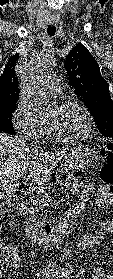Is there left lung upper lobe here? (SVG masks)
I'll use <instances>...</instances> for the list:
<instances>
[{
  "label": "left lung upper lobe",
  "instance_id": "left-lung-upper-lobe-1",
  "mask_svg": "<svg viewBox=\"0 0 113 279\" xmlns=\"http://www.w3.org/2000/svg\"><path fill=\"white\" fill-rule=\"evenodd\" d=\"M65 68L70 86L91 112L101 134L113 138V101L97 61L85 46L77 44L69 52Z\"/></svg>",
  "mask_w": 113,
  "mask_h": 279
}]
</instances>
